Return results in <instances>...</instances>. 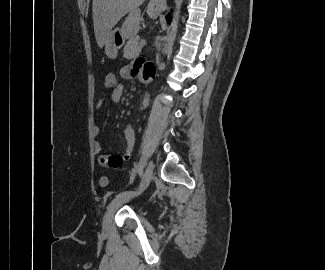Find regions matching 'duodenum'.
I'll use <instances>...</instances> for the list:
<instances>
[{
	"label": "duodenum",
	"instance_id": "duodenum-1",
	"mask_svg": "<svg viewBox=\"0 0 325 270\" xmlns=\"http://www.w3.org/2000/svg\"><path fill=\"white\" fill-rule=\"evenodd\" d=\"M143 81H148V80H145V79L143 78Z\"/></svg>",
	"mask_w": 325,
	"mask_h": 270
}]
</instances>
